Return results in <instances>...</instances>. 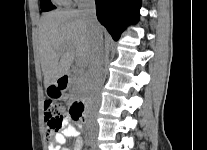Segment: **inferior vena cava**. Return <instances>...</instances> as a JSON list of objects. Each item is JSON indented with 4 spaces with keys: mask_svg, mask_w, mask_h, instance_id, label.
I'll return each mask as SVG.
<instances>
[{
    "mask_svg": "<svg viewBox=\"0 0 207 150\" xmlns=\"http://www.w3.org/2000/svg\"><path fill=\"white\" fill-rule=\"evenodd\" d=\"M79 11L85 17L93 34L91 47L89 50V74L91 91L95 102L98 104L101 97V89L104 84L103 77V37L98 31V21L96 18L94 0H78Z\"/></svg>",
    "mask_w": 207,
    "mask_h": 150,
    "instance_id": "602c4592",
    "label": "inferior vena cava"
}]
</instances>
